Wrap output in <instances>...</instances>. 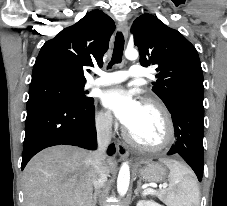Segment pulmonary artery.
Returning <instances> with one entry per match:
<instances>
[{"instance_id":"1","label":"pulmonary artery","mask_w":227,"mask_h":206,"mask_svg":"<svg viewBox=\"0 0 227 206\" xmlns=\"http://www.w3.org/2000/svg\"><path fill=\"white\" fill-rule=\"evenodd\" d=\"M147 76L145 69L139 65H133L126 71H114L102 73L100 76L90 82L89 86H107L121 83L128 78H142Z\"/></svg>"}]
</instances>
